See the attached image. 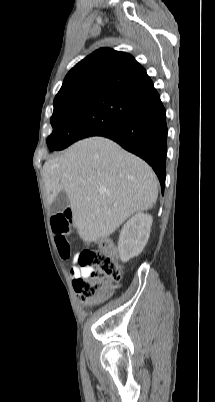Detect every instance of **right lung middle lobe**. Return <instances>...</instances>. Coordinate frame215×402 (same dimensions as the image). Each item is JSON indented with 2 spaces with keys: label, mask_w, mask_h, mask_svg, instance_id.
<instances>
[{
  "label": "right lung middle lobe",
  "mask_w": 215,
  "mask_h": 402,
  "mask_svg": "<svg viewBox=\"0 0 215 402\" xmlns=\"http://www.w3.org/2000/svg\"><path fill=\"white\" fill-rule=\"evenodd\" d=\"M138 106L107 93L55 99L50 119L53 132L47 138L49 150H62L80 139L107 133L125 122Z\"/></svg>",
  "instance_id": "right-lung-middle-lobe-1"
}]
</instances>
